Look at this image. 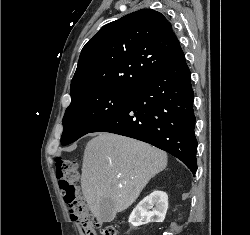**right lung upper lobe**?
<instances>
[{"label": "right lung upper lobe", "instance_id": "cb5924a9", "mask_svg": "<svg viewBox=\"0 0 250 235\" xmlns=\"http://www.w3.org/2000/svg\"><path fill=\"white\" fill-rule=\"evenodd\" d=\"M178 45L171 23L152 9L105 25L81 51L71 99L96 90H135L168 65Z\"/></svg>", "mask_w": 250, "mask_h": 235}]
</instances>
